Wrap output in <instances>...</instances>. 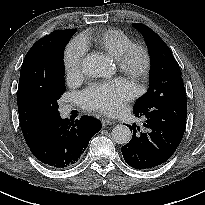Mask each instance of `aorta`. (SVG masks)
Wrapping results in <instances>:
<instances>
[{
	"mask_svg": "<svg viewBox=\"0 0 205 205\" xmlns=\"http://www.w3.org/2000/svg\"><path fill=\"white\" fill-rule=\"evenodd\" d=\"M82 71L85 75L92 78L108 76L110 66L105 56L98 53H91L82 62ZM112 140L117 144H127L132 137L129 127L120 124L115 126L111 132Z\"/></svg>",
	"mask_w": 205,
	"mask_h": 205,
	"instance_id": "762f6f07",
	"label": "aorta"
}]
</instances>
